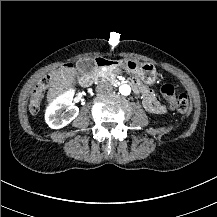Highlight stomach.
<instances>
[{"mask_svg": "<svg viewBox=\"0 0 217 217\" xmlns=\"http://www.w3.org/2000/svg\"><path fill=\"white\" fill-rule=\"evenodd\" d=\"M128 74L136 76L146 86H153L157 80L156 67L151 62L124 59L120 65Z\"/></svg>", "mask_w": 217, "mask_h": 217, "instance_id": "stomach-1", "label": "stomach"}]
</instances>
